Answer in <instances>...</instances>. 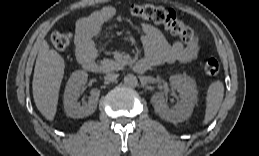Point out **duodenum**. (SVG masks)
<instances>
[{
	"label": "duodenum",
	"mask_w": 259,
	"mask_h": 156,
	"mask_svg": "<svg viewBox=\"0 0 259 156\" xmlns=\"http://www.w3.org/2000/svg\"><path fill=\"white\" fill-rule=\"evenodd\" d=\"M81 62H82L83 68L89 72L96 73L100 70L99 64L94 60L93 56L89 54L82 56ZM148 67L149 66L145 62L139 61L135 65V70L139 73H143L148 69Z\"/></svg>",
	"instance_id": "duodenum-1"
}]
</instances>
